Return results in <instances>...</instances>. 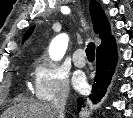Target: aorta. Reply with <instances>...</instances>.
<instances>
[{"label": "aorta", "instance_id": "1", "mask_svg": "<svg viewBox=\"0 0 133 118\" xmlns=\"http://www.w3.org/2000/svg\"><path fill=\"white\" fill-rule=\"evenodd\" d=\"M69 38L66 34L58 35L54 40V48L51 52V58L54 60H60L68 47Z\"/></svg>", "mask_w": 133, "mask_h": 118}]
</instances>
